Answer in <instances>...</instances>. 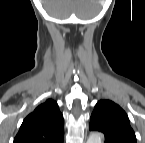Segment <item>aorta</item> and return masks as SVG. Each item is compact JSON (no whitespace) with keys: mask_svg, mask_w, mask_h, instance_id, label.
Wrapping results in <instances>:
<instances>
[{"mask_svg":"<svg viewBox=\"0 0 145 143\" xmlns=\"http://www.w3.org/2000/svg\"><path fill=\"white\" fill-rule=\"evenodd\" d=\"M87 143H102V136L98 132L91 133L87 139Z\"/></svg>","mask_w":145,"mask_h":143,"instance_id":"aorta-1","label":"aorta"}]
</instances>
